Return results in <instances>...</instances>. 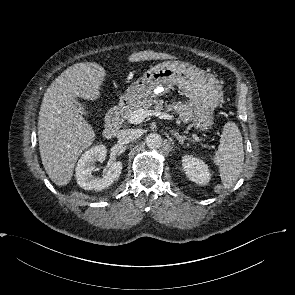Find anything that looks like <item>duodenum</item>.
Listing matches in <instances>:
<instances>
[{
	"mask_svg": "<svg viewBox=\"0 0 295 295\" xmlns=\"http://www.w3.org/2000/svg\"><path fill=\"white\" fill-rule=\"evenodd\" d=\"M125 104L123 102L115 105L107 114L106 124L103 131V135L107 139L113 138L119 130V121L121 113Z\"/></svg>",
	"mask_w": 295,
	"mask_h": 295,
	"instance_id": "duodenum-1",
	"label": "duodenum"
}]
</instances>
